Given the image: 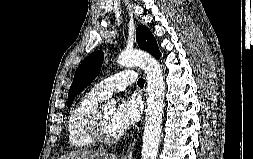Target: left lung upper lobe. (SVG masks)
<instances>
[{
	"instance_id": "obj_1",
	"label": "left lung upper lobe",
	"mask_w": 253,
	"mask_h": 159,
	"mask_svg": "<svg viewBox=\"0 0 253 159\" xmlns=\"http://www.w3.org/2000/svg\"><path fill=\"white\" fill-rule=\"evenodd\" d=\"M136 36L140 48L157 59L160 58V51L156 39L146 26H138ZM103 60L104 53L102 51H96L79 65L68 93V108L72 105L75 97L97 77L101 70Z\"/></svg>"
}]
</instances>
